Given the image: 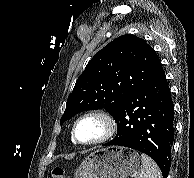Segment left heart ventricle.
I'll use <instances>...</instances> for the list:
<instances>
[{
  "instance_id": "obj_1",
  "label": "left heart ventricle",
  "mask_w": 194,
  "mask_h": 178,
  "mask_svg": "<svg viewBox=\"0 0 194 178\" xmlns=\"http://www.w3.org/2000/svg\"><path fill=\"white\" fill-rule=\"evenodd\" d=\"M103 130V123L99 119L89 117L78 124L76 136L82 142H90L99 138L102 135Z\"/></svg>"
}]
</instances>
